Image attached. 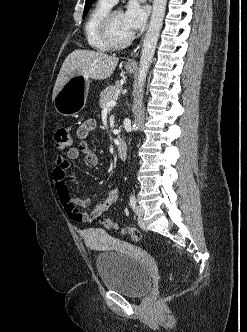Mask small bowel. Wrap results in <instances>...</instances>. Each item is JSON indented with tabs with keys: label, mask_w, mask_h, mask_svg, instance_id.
Returning <instances> with one entry per match:
<instances>
[{
	"label": "small bowel",
	"mask_w": 247,
	"mask_h": 332,
	"mask_svg": "<svg viewBox=\"0 0 247 332\" xmlns=\"http://www.w3.org/2000/svg\"><path fill=\"white\" fill-rule=\"evenodd\" d=\"M96 127V121L89 119L81 124L77 130L80 140L79 147L71 148L67 152V158L57 156L53 169V179L59 201L67 216L78 223H91L105 214L119 199L117 188H111L107 198L92 205L88 198H76L70 194L69 187L65 181L66 171L70 166V160H76L83 156L86 166L93 168L98 164V158L92 151L88 142L90 132ZM91 209L90 211H87Z\"/></svg>",
	"instance_id": "small-bowel-1"
}]
</instances>
